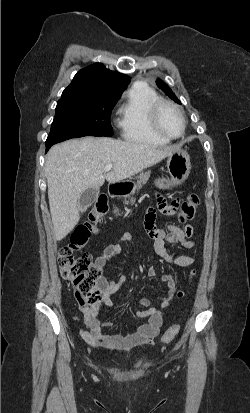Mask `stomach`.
<instances>
[{
  "mask_svg": "<svg viewBox=\"0 0 250 413\" xmlns=\"http://www.w3.org/2000/svg\"><path fill=\"white\" fill-rule=\"evenodd\" d=\"M167 169L169 177L159 179L155 182L156 186L161 189H172L181 185L188 178L191 163L187 152L176 150L168 156ZM136 185L133 182H125L121 185V194L127 195L131 190H134Z\"/></svg>",
  "mask_w": 250,
  "mask_h": 413,
  "instance_id": "obj_1",
  "label": "stomach"
}]
</instances>
